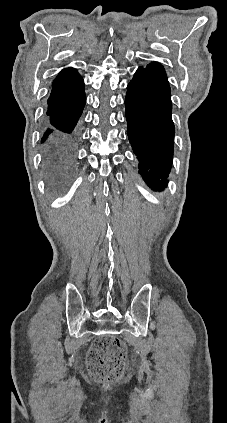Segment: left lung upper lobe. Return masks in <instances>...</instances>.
<instances>
[{"label":"left lung upper lobe","instance_id":"obj_1","mask_svg":"<svg viewBox=\"0 0 227 423\" xmlns=\"http://www.w3.org/2000/svg\"><path fill=\"white\" fill-rule=\"evenodd\" d=\"M137 71H150L153 72L154 74L158 75V77L167 85L168 81H167V77L164 71V68L158 64V63H152L146 66V68H142L140 67Z\"/></svg>","mask_w":227,"mask_h":423}]
</instances>
